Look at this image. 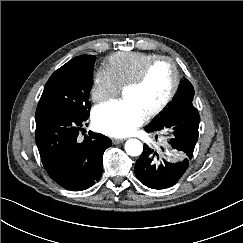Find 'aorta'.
Masks as SVG:
<instances>
[{
  "mask_svg": "<svg viewBox=\"0 0 243 243\" xmlns=\"http://www.w3.org/2000/svg\"><path fill=\"white\" fill-rule=\"evenodd\" d=\"M125 151L128 155L136 157L141 155L143 145L138 139H129L125 143Z\"/></svg>",
  "mask_w": 243,
  "mask_h": 243,
  "instance_id": "762f6f07",
  "label": "aorta"
}]
</instances>
